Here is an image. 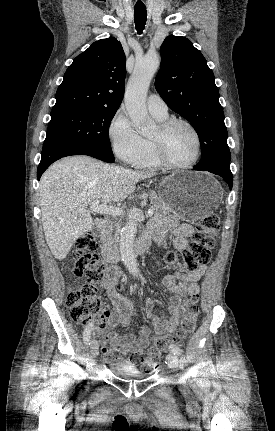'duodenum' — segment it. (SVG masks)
I'll return each mask as SVG.
<instances>
[{"label":"duodenum","mask_w":275,"mask_h":431,"mask_svg":"<svg viewBox=\"0 0 275 431\" xmlns=\"http://www.w3.org/2000/svg\"><path fill=\"white\" fill-rule=\"evenodd\" d=\"M108 226H109V223L105 219L100 220L98 223V228L101 232H105ZM150 243H151V238L149 234L147 233L144 234L141 238L138 239L136 243V247H135L136 253L143 254L144 252H146L150 246ZM103 256H104V259L109 263H116L120 259L118 250L116 249L115 246L111 244H105L103 248Z\"/></svg>","instance_id":"duodenum-1"}]
</instances>
